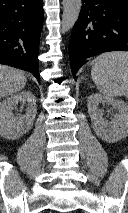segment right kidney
I'll list each match as a JSON object with an SVG mask.
<instances>
[{
    "instance_id": "right-kidney-1",
    "label": "right kidney",
    "mask_w": 128,
    "mask_h": 213,
    "mask_svg": "<svg viewBox=\"0 0 128 213\" xmlns=\"http://www.w3.org/2000/svg\"><path fill=\"white\" fill-rule=\"evenodd\" d=\"M37 100L31 91H21L0 102V136L5 139H18L32 126L37 113ZM19 103L27 104L26 114L14 116L13 109Z\"/></svg>"
}]
</instances>
